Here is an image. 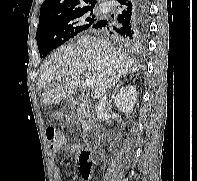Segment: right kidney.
<instances>
[{
    "instance_id": "ca27d5eb",
    "label": "right kidney",
    "mask_w": 197,
    "mask_h": 181,
    "mask_svg": "<svg viewBox=\"0 0 197 181\" xmlns=\"http://www.w3.org/2000/svg\"><path fill=\"white\" fill-rule=\"evenodd\" d=\"M136 94L135 86L128 85L126 87H122L115 97L114 103L116 107L125 113H129L133 110L136 103Z\"/></svg>"
}]
</instances>
